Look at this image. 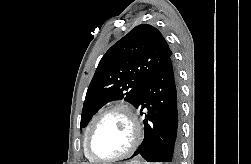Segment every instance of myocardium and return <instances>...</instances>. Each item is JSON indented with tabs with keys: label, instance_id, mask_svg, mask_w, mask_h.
<instances>
[{
	"label": "myocardium",
	"instance_id": "1",
	"mask_svg": "<svg viewBox=\"0 0 251 164\" xmlns=\"http://www.w3.org/2000/svg\"><path fill=\"white\" fill-rule=\"evenodd\" d=\"M115 111H121L123 112L127 118L129 119L131 125H132V130H133V137L132 141L129 145V147L121 154L109 157V158H99L96 157L92 151H91V141L92 137L94 135V132L100 123V121L109 113L115 112ZM143 137V130H142V124L141 121L134 111V109L126 104V103H116L113 104L109 107H107L105 110H103L99 115L96 116V118L93 120L91 123V126L88 130V133L85 138V153L86 155L93 161L98 162V163H107V162H113V161H118L121 159H124L128 156H130L139 146V144L142 141Z\"/></svg>",
	"mask_w": 251,
	"mask_h": 164
}]
</instances>
